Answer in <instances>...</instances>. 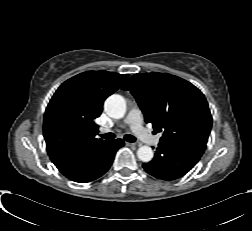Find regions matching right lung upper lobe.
I'll list each match as a JSON object with an SVG mask.
<instances>
[{"instance_id":"cb5924a9","label":"right lung upper lobe","mask_w":252,"mask_h":231,"mask_svg":"<svg viewBox=\"0 0 252 231\" xmlns=\"http://www.w3.org/2000/svg\"><path fill=\"white\" fill-rule=\"evenodd\" d=\"M127 74L87 71L65 81L44 115L43 135L48 155L67 178L81 172L86 154L108 141L95 138L104 100L118 90Z\"/></svg>"}]
</instances>
